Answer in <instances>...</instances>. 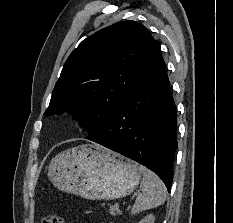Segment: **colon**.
Masks as SVG:
<instances>
[{
	"label": "colon",
	"mask_w": 233,
	"mask_h": 223,
	"mask_svg": "<svg viewBox=\"0 0 233 223\" xmlns=\"http://www.w3.org/2000/svg\"><path fill=\"white\" fill-rule=\"evenodd\" d=\"M41 223H65V219L59 215H49L44 217Z\"/></svg>",
	"instance_id": "5ec220e1"
}]
</instances>
